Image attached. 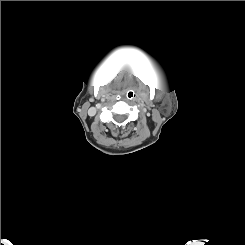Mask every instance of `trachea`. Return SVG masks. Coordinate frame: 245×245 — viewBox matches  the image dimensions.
Wrapping results in <instances>:
<instances>
[{
	"mask_svg": "<svg viewBox=\"0 0 245 245\" xmlns=\"http://www.w3.org/2000/svg\"><path fill=\"white\" fill-rule=\"evenodd\" d=\"M128 99H133L135 97V92L133 90H129L126 93Z\"/></svg>",
	"mask_w": 245,
	"mask_h": 245,
	"instance_id": "1",
	"label": "trachea"
}]
</instances>
